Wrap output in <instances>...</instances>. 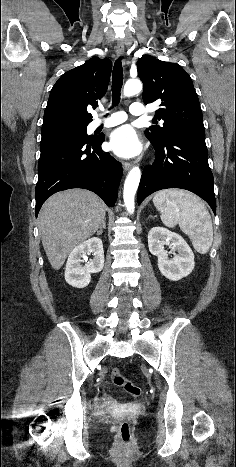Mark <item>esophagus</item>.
I'll list each match as a JSON object with an SVG mask.
<instances>
[{
  "label": "esophagus",
  "instance_id": "34e87169",
  "mask_svg": "<svg viewBox=\"0 0 236 467\" xmlns=\"http://www.w3.org/2000/svg\"><path fill=\"white\" fill-rule=\"evenodd\" d=\"M116 53L118 56H122L124 54V44L121 40H117ZM122 165L125 171L132 167V163L127 161L123 162Z\"/></svg>",
  "mask_w": 236,
  "mask_h": 467
}]
</instances>
